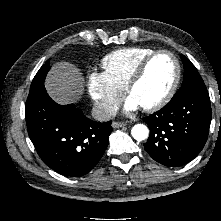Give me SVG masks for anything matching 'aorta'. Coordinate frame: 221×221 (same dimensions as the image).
Segmentation results:
<instances>
[{"instance_id":"1","label":"aorta","mask_w":221,"mask_h":221,"mask_svg":"<svg viewBox=\"0 0 221 221\" xmlns=\"http://www.w3.org/2000/svg\"><path fill=\"white\" fill-rule=\"evenodd\" d=\"M131 135L135 140L142 141L148 138L149 130L143 124H136L131 129Z\"/></svg>"}]
</instances>
